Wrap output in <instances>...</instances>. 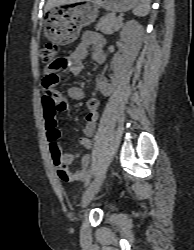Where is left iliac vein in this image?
<instances>
[{
    "label": "left iliac vein",
    "mask_w": 194,
    "mask_h": 250,
    "mask_svg": "<svg viewBox=\"0 0 194 250\" xmlns=\"http://www.w3.org/2000/svg\"><path fill=\"white\" fill-rule=\"evenodd\" d=\"M107 173V168L102 169L91 182L83 195L82 206L86 207L100 189Z\"/></svg>",
    "instance_id": "obj_1"
}]
</instances>
